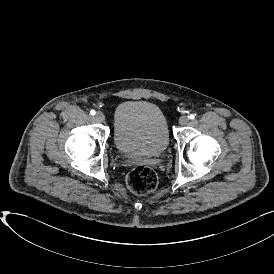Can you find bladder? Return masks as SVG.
<instances>
[{
  "instance_id": "obj_1",
  "label": "bladder",
  "mask_w": 274,
  "mask_h": 274,
  "mask_svg": "<svg viewBox=\"0 0 274 274\" xmlns=\"http://www.w3.org/2000/svg\"><path fill=\"white\" fill-rule=\"evenodd\" d=\"M113 141L116 149L128 157L158 155L170 144L165 113L148 100H127L113 114Z\"/></svg>"
}]
</instances>
